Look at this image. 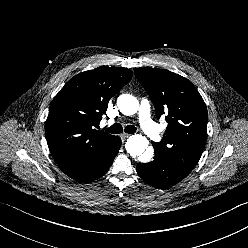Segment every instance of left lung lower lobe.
<instances>
[{"mask_svg":"<svg viewBox=\"0 0 248 248\" xmlns=\"http://www.w3.org/2000/svg\"><path fill=\"white\" fill-rule=\"evenodd\" d=\"M136 170L139 176L149 185L160 189L179 183L189 174L168 158L156 152L154 161L145 164L139 163Z\"/></svg>","mask_w":248,"mask_h":248,"instance_id":"obj_1","label":"left lung lower lobe"}]
</instances>
